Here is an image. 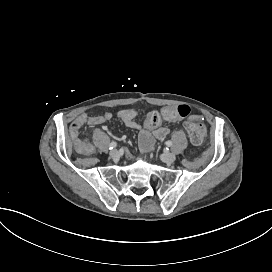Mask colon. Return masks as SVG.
<instances>
[{
  "label": "colon",
  "mask_w": 272,
  "mask_h": 272,
  "mask_svg": "<svg viewBox=\"0 0 272 272\" xmlns=\"http://www.w3.org/2000/svg\"><path fill=\"white\" fill-rule=\"evenodd\" d=\"M189 106L179 105L173 108V112L179 117L186 118L189 115ZM149 121H152L149 119ZM80 122H76L71 128V134L75 135L78 132ZM185 128L190 137L191 142L194 145H200L204 136V127L201 119L197 116H193L187 119L185 122Z\"/></svg>",
  "instance_id": "5ec220e1"
}]
</instances>
